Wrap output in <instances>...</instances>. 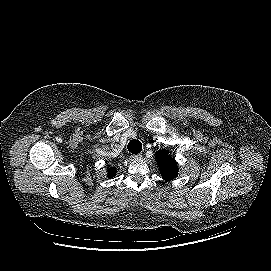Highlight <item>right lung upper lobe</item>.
<instances>
[{
    "instance_id": "cb5924a9",
    "label": "right lung upper lobe",
    "mask_w": 271,
    "mask_h": 271,
    "mask_svg": "<svg viewBox=\"0 0 271 271\" xmlns=\"http://www.w3.org/2000/svg\"><path fill=\"white\" fill-rule=\"evenodd\" d=\"M108 172H109L108 176L113 177L116 173V168H109Z\"/></svg>"
}]
</instances>
